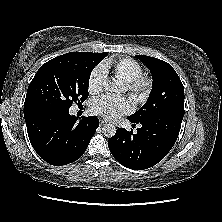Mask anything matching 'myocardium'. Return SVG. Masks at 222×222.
Returning a JSON list of instances; mask_svg holds the SVG:
<instances>
[{
  "label": "myocardium",
  "mask_w": 222,
  "mask_h": 222,
  "mask_svg": "<svg viewBox=\"0 0 222 222\" xmlns=\"http://www.w3.org/2000/svg\"><path fill=\"white\" fill-rule=\"evenodd\" d=\"M152 79L146 75H140L132 82L125 83V90L136 104L144 102L152 89Z\"/></svg>",
  "instance_id": "1"
}]
</instances>
